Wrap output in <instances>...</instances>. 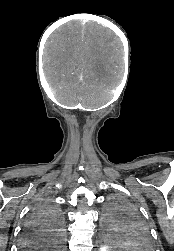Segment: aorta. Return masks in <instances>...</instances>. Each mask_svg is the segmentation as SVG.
<instances>
[{
  "label": "aorta",
  "mask_w": 174,
  "mask_h": 251,
  "mask_svg": "<svg viewBox=\"0 0 174 251\" xmlns=\"http://www.w3.org/2000/svg\"><path fill=\"white\" fill-rule=\"evenodd\" d=\"M100 235L101 237L97 246L99 251L121 250L124 236L122 229L110 228L108 223H103Z\"/></svg>",
  "instance_id": "1"
}]
</instances>
